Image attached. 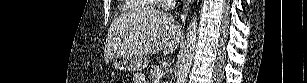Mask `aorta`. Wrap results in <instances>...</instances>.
Masks as SVG:
<instances>
[{
    "instance_id": "1",
    "label": "aorta",
    "mask_w": 307,
    "mask_h": 83,
    "mask_svg": "<svg viewBox=\"0 0 307 83\" xmlns=\"http://www.w3.org/2000/svg\"><path fill=\"white\" fill-rule=\"evenodd\" d=\"M197 20V14L194 13L187 32L186 48L181 56V62L178 66L176 83H186L189 71L191 69L197 41Z\"/></svg>"
}]
</instances>
